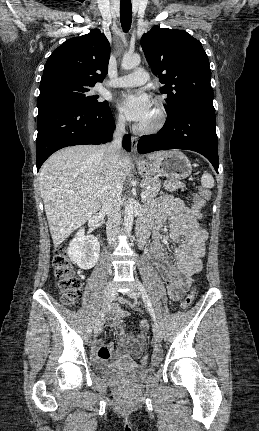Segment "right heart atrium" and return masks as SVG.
<instances>
[{
  "label": "right heart atrium",
  "mask_w": 259,
  "mask_h": 431,
  "mask_svg": "<svg viewBox=\"0 0 259 431\" xmlns=\"http://www.w3.org/2000/svg\"><path fill=\"white\" fill-rule=\"evenodd\" d=\"M116 124L118 126H123L125 124V118L123 117L122 114H117V116H116Z\"/></svg>",
  "instance_id": "d8ad5b80"
}]
</instances>
